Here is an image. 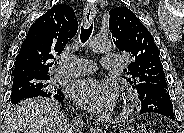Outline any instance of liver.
Wrapping results in <instances>:
<instances>
[{"instance_id": "6515ba94", "label": "liver", "mask_w": 184, "mask_h": 133, "mask_svg": "<svg viewBox=\"0 0 184 133\" xmlns=\"http://www.w3.org/2000/svg\"><path fill=\"white\" fill-rule=\"evenodd\" d=\"M67 119L53 99H26L11 109L4 133H68Z\"/></svg>"}]
</instances>
